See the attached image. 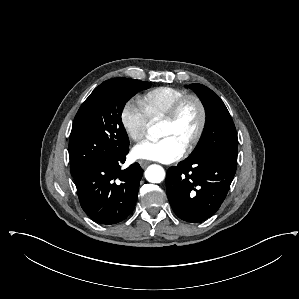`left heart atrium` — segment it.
<instances>
[{
	"label": "left heart atrium",
	"mask_w": 299,
	"mask_h": 299,
	"mask_svg": "<svg viewBox=\"0 0 299 299\" xmlns=\"http://www.w3.org/2000/svg\"><path fill=\"white\" fill-rule=\"evenodd\" d=\"M185 152L173 138L165 137L157 141L144 140L132 148L134 159L156 160L171 163L180 159Z\"/></svg>",
	"instance_id": "obj_1"
}]
</instances>
